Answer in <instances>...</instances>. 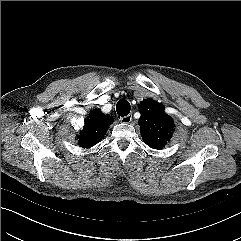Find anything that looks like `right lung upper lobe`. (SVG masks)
Segmentation results:
<instances>
[{
  "label": "right lung upper lobe",
  "instance_id": "1",
  "mask_svg": "<svg viewBox=\"0 0 241 241\" xmlns=\"http://www.w3.org/2000/svg\"><path fill=\"white\" fill-rule=\"evenodd\" d=\"M112 122L111 116L104 115L100 110H93L85 120L84 129L78 135L79 145L82 148H89L97 144Z\"/></svg>",
  "mask_w": 241,
  "mask_h": 241
}]
</instances>
